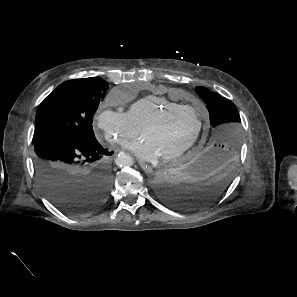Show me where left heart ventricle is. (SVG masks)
<instances>
[{"instance_id":"obj_1","label":"left heart ventricle","mask_w":297,"mask_h":297,"mask_svg":"<svg viewBox=\"0 0 297 297\" xmlns=\"http://www.w3.org/2000/svg\"><path fill=\"white\" fill-rule=\"evenodd\" d=\"M197 127V116L192 110H180L164 117L159 123L141 131L164 156L183 146Z\"/></svg>"}]
</instances>
